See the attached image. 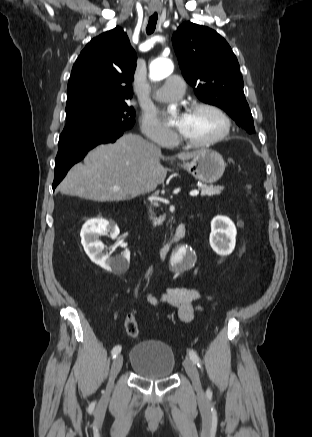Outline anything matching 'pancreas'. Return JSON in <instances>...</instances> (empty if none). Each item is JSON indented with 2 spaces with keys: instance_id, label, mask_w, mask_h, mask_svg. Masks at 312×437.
<instances>
[{
  "instance_id": "pancreas-1",
  "label": "pancreas",
  "mask_w": 312,
  "mask_h": 437,
  "mask_svg": "<svg viewBox=\"0 0 312 437\" xmlns=\"http://www.w3.org/2000/svg\"><path fill=\"white\" fill-rule=\"evenodd\" d=\"M201 195L202 196H214V195H219L221 193V191L223 190V186H208L203 184L201 187ZM165 216H160L158 219V223L162 224V222L164 221Z\"/></svg>"
}]
</instances>
